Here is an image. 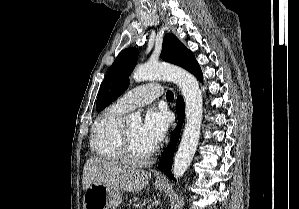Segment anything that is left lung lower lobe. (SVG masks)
<instances>
[{"label":"left lung lower lobe","instance_id":"1","mask_svg":"<svg viewBox=\"0 0 299 209\" xmlns=\"http://www.w3.org/2000/svg\"><path fill=\"white\" fill-rule=\"evenodd\" d=\"M200 81L202 80V71L199 66L196 67V69L192 72ZM176 112L178 117V125L176 129L172 133L171 143L166 151L163 152L162 157L160 159V164L158 168L163 171L170 179H174V177L171 174V167H172V156L173 152L175 150L177 140L179 137V133L182 127V123L184 120V102L181 96H178L177 98V104H176Z\"/></svg>","mask_w":299,"mask_h":209}]
</instances>
